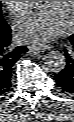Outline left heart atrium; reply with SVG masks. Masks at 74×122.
<instances>
[{
  "mask_svg": "<svg viewBox=\"0 0 74 122\" xmlns=\"http://www.w3.org/2000/svg\"><path fill=\"white\" fill-rule=\"evenodd\" d=\"M68 27L69 22L52 5L30 9L14 22L16 38L21 42H47L64 34Z\"/></svg>",
  "mask_w": 74,
  "mask_h": 122,
  "instance_id": "1",
  "label": "left heart atrium"
}]
</instances>
